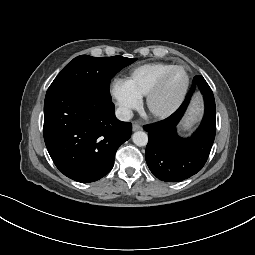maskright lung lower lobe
<instances>
[{
    "instance_id": "obj_1",
    "label": "right lung lower lobe",
    "mask_w": 255,
    "mask_h": 255,
    "mask_svg": "<svg viewBox=\"0 0 255 255\" xmlns=\"http://www.w3.org/2000/svg\"><path fill=\"white\" fill-rule=\"evenodd\" d=\"M132 125L115 117L114 104L92 90H48L43 134L61 173L83 183L110 172L117 149L131 136Z\"/></svg>"
}]
</instances>
